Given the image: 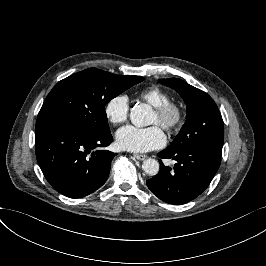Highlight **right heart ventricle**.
<instances>
[{"instance_id":"obj_1","label":"right heart ventricle","mask_w":266,"mask_h":266,"mask_svg":"<svg viewBox=\"0 0 266 266\" xmlns=\"http://www.w3.org/2000/svg\"><path fill=\"white\" fill-rule=\"evenodd\" d=\"M138 97L153 107H158L172 100L168 91L158 86H151L142 89Z\"/></svg>"}]
</instances>
